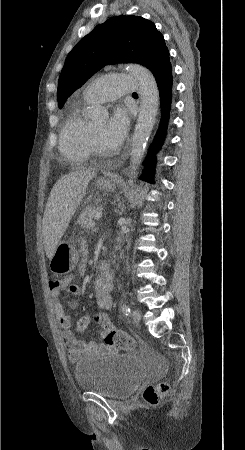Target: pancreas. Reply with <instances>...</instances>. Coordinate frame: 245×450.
Returning a JSON list of instances; mask_svg holds the SVG:
<instances>
[{
	"label": "pancreas",
	"instance_id": "obj_1",
	"mask_svg": "<svg viewBox=\"0 0 245 450\" xmlns=\"http://www.w3.org/2000/svg\"><path fill=\"white\" fill-rule=\"evenodd\" d=\"M99 212L96 206H88L79 216L77 223L84 229H91L94 227L95 215Z\"/></svg>",
	"mask_w": 245,
	"mask_h": 450
}]
</instances>
